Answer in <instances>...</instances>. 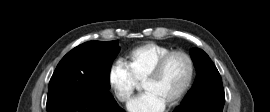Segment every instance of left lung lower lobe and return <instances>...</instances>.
I'll use <instances>...</instances> for the list:
<instances>
[{
    "label": "left lung lower lobe",
    "instance_id": "1",
    "mask_svg": "<svg viewBox=\"0 0 270 112\" xmlns=\"http://www.w3.org/2000/svg\"><path fill=\"white\" fill-rule=\"evenodd\" d=\"M224 103V93L212 92L197 102L180 104L173 112H222Z\"/></svg>",
    "mask_w": 270,
    "mask_h": 112
}]
</instances>
